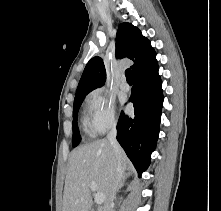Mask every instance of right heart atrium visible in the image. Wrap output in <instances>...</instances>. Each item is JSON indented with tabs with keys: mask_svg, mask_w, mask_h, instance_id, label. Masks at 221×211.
I'll return each instance as SVG.
<instances>
[{
	"mask_svg": "<svg viewBox=\"0 0 221 211\" xmlns=\"http://www.w3.org/2000/svg\"><path fill=\"white\" fill-rule=\"evenodd\" d=\"M87 127L95 135H101L117 124L112 97L101 88L91 91L86 98Z\"/></svg>",
	"mask_w": 221,
	"mask_h": 211,
	"instance_id": "d8ad5b80",
	"label": "right heart atrium"
}]
</instances>
